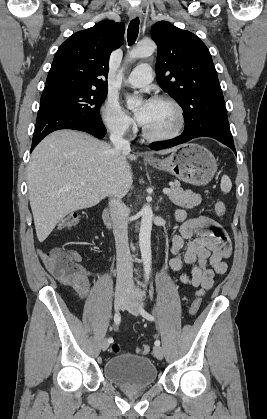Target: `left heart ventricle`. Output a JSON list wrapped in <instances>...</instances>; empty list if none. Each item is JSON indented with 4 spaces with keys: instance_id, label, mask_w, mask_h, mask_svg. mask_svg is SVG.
I'll use <instances>...</instances> for the list:
<instances>
[{
    "instance_id": "b2bd125f",
    "label": "left heart ventricle",
    "mask_w": 267,
    "mask_h": 419,
    "mask_svg": "<svg viewBox=\"0 0 267 419\" xmlns=\"http://www.w3.org/2000/svg\"><path fill=\"white\" fill-rule=\"evenodd\" d=\"M177 124L175 109L166 102L152 101L143 126L151 133L163 134L171 131Z\"/></svg>"
}]
</instances>
